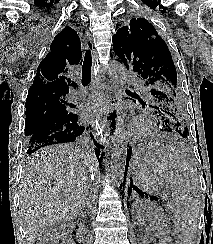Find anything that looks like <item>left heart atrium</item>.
<instances>
[{"instance_id": "39dd6f15", "label": "left heart atrium", "mask_w": 213, "mask_h": 244, "mask_svg": "<svg viewBox=\"0 0 213 244\" xmlns=\"http://www.w3.org/2000/svg\"><path fill=\"white\" fill-rule=\"evenodd\" d=\"M107 110L108 103L103 99L97 98L96 100L86 103L84 107V116L92 122H98L102 119Z\"/></svg>"}]
</instances>
